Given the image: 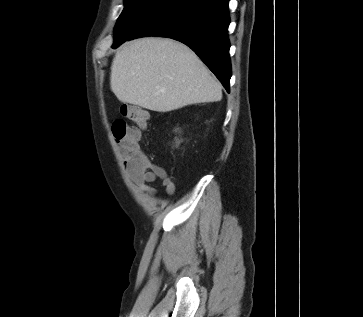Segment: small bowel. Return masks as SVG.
I'll list each match as a JSON object with an SVG mask.
<instances>
[{
  "label": "small bowel",
  "mask_w": 363,
  "mask_h": 317,
  "mask_svg": "<svg viewBox=\"0 0 363 317\" xmlns=\"http://www.w3.org/2000/svg\"><path fill=\"white\" fill-rule=\"evenodd\" d=\"M145 157L146 161L142 167L133 168L127 166L128 172L139 190L154 195L156 189L149 184L159 179L163 183L166 192L168 194H173L175 189L174 184L166 172L161 167L153 164L146 155Z\"/></svg>",
  "instance_id": "obj_1"
}]
</instances>
